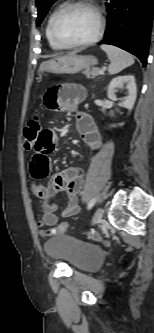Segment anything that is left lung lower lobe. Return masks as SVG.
I'll list each match as a JSON object with an SVG mask.
<instances>
[{
	"label": "left lung lower lobe",
	"mask_w": 154,
	"mask_h": 333,
	"mask_svg": "<svg viewBox=\"0 0 154 333\" xmlns=\"http://www.w3.org/2000/svg\"><path fill=\"white\" fill-rule=\"evenodd\" d=\"M107 29L99 44L120 47L146 67L154 16V0H110Z\"/></svg>",
	"instance_id": "0a47b994"
}]
</instances>
